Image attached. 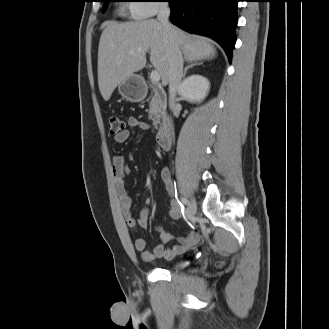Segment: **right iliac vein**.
<instances>
[{
	"label": "right iliac vein",
	"mask_w": 329,
	"mask_h": 329,
	"mask_svg": "<svg viewBox=\"0 0 329 329\" xmlns=\"http://www.w3.org/2000/svg\"><path fill=\"white\" fill-rule=\"evenodd\" d=\"M187 196L189 197V204H188V208L186 210V217L191 218L196 213L197 204H196L194 197H192L191 195H187Z\"/></svg>",
	"instance_id": "obj_1"
}]
</instances>
